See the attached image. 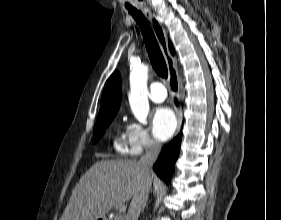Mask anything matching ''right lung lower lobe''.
Listing matches in <instances>:
<instances>
[{"mask_svg": "<svg viewBox=\"0 0 281 220\" xmlns=\"http://www.w3.org/2000/svg\"><path fill=\"white\" fill-rule=\"evenodd\" d=\"M182 132L174 138L162 151L153 166L156 174L166 183L170 182L174 171V165L179 155Z\"/></svg>", "mask_w": 281, "mask_h": 220, "instance_id": "right-lung-lower-lobe-1", "label": "right lung lower lobe"}]
</instances>
